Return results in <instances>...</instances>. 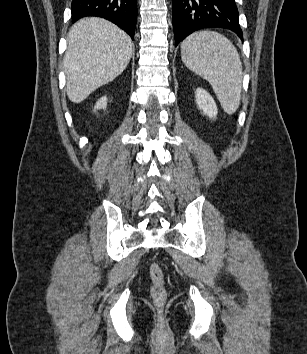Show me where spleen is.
<instances>
[{
	"mask_svg": "<svg viewBox=\"0 0 307 354\" xmlns=\"http://www.w3.org/2000/svg\"><path fill=\"white\" fill-rule=\"evenodd\" d=\"M181 57L211 84L224 111L234 114L241 100L242 63L232 42L217 32H195L181 43Z\"/></svg>",
	"mask_w": 307,
	"mask_h": 354,
	"instance_id": "obj_1",
	"label": "spleen"
}]
</instances>
